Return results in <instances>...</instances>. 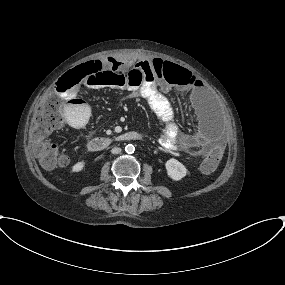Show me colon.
<instances>
[{
    "label": "colon",
    "mask_w": 285,
    "mask_h": 285,
    "mask_svg": "<svg viewBox=\"0 0 285 285\" xmlns=\"http://www.w3.org/2000/svg\"><path fill=\"white\" fill-rule=\"evenodd\" d=\"M180 69L165 63L158 77L166 78ZM100 79L113 88L128 92H140L144 85V73L138 68L119 70L118 64L108 58L104 60H90L64 73L59 81L62 94H69L73 88L88 80ZM67 81L66 87L62 83ZM89 120L83 119L79 126L83 127ZM65 123L64 105L59 94H50L43 102L40 110L32 117L30 123V140L34 153L44 169H52L66 163L64 156L49 144V135L60 129ZM221 159V153L216 151L201 164L205 174L213 172Z\"/></svg>",
    "instance_id": "1"
}]
</instances>
